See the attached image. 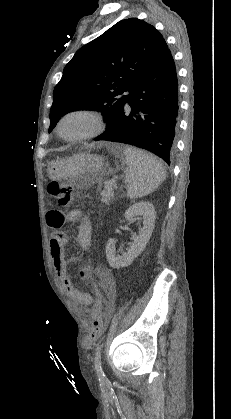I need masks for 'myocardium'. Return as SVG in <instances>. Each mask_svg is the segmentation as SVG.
<instances>
[{
  "label": "myocardium",
  "instance_id": "f54148a6",
  "mask_svg": "<svg viewBox=\"0 0 231 419\" xmlns=\"http://www.w3.org/2000/svg\"><path fill=\"white\" fill-rule=\"evenodd\" d=\"M73 115H84L90 118L93 122L92 129L89 132L80 136H74V137L64 136L61 131L62 124L68 117L73 116ZM104 128H105V123H104L103 116L97 111L86 109V108H76V109H72L66 112L60 117L57 123V127H56L57 134L59 135V137L68 142H80V141H86V140L92 139L98 136L99 134H101Z\"/></svg>",
  "mask_w": 231,
  "mask_h": 419
}]
</instances>
